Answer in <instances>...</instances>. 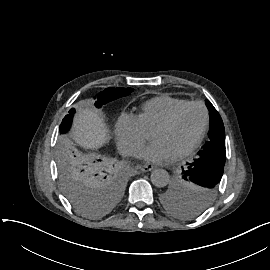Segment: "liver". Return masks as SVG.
Returning <instances> with one entry per match:
<instances>
[{
	"mask_svg": "<svg viewBox=\"0 0 270 270\" xmlns=\"http://www.w3.org/2000/svg\"><path fill=\"white\" fill-rule=\"evenodd\" d=\"M70 137L85 150H97L110 140L103 117L88 108L78 109Z\"/></svg>",
	"mask_w": 270,
	"mask_h": 270,
	"instance_id": "obj_1",
	"label": "liver"
}]
</instances>
